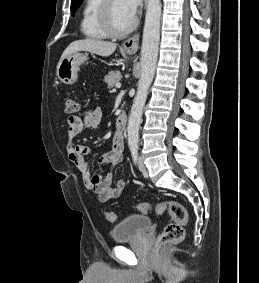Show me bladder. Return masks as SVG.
Returning a JSON list of instances; mask_svg holds the SVG:
<instances>
[{
	"label": "bladder",
	"mask_w": 259,
	"mask_h": 283,
	"mask_svg": "<svg viewBox=\"0 0 259 283\" xmlns=\"http://www.w3.org/2000/svg\"><path fill=\"white\" fill-rule=\"evenodd\" d=\"M152 222L145 215H130L117 223L111 230L114 242H122L138 237L151 228Z\"/></svg>",
	"instance_id": "bladder-1"
}]
</instances>
